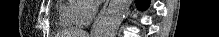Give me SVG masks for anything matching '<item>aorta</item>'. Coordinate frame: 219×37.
<instances>
[{
	"label": "aorta",
	"instance_id": "762f6f07",
	"mask_svg": "<svg viewBox=\"0 0 219 37\" xmlns=\"http://www.w3.org/2000/svg\"><path fill=\"white\" fill-rule=\"evenodd\" d=\"M132 0H114L102 20L97 37H115Z\"/></svg>",
	"mask_w": 219,
	"mask_h": 37
}]
</instances>
